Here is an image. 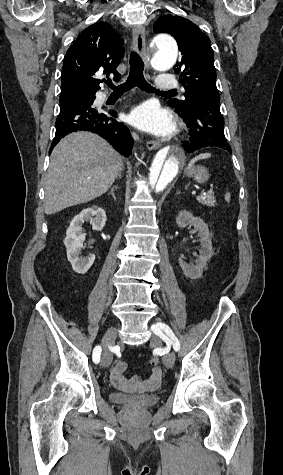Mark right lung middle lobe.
Masks as SVG:
<instances>
[{
	"instance_id": "obj_1",
	"label": "right lung middle lobe",
	"mask_w": 283,
	"mask_h": 475,
	"mask_svg": "<svg viewBox=\"0 0 283 475\" xmlns=\"http://www.w3.org/2000/svg\"><path fill=\"white\" fill-rule=\"evenodd\" d=\"M93 97H95L94 92H84L76 89H61L59 101L60 103H64L73 99Z\"/></svg>"
}]
</instances>
